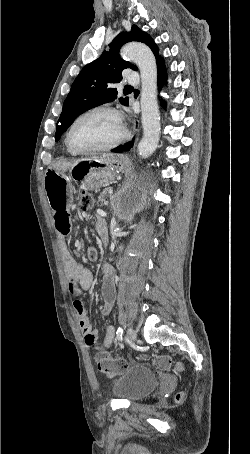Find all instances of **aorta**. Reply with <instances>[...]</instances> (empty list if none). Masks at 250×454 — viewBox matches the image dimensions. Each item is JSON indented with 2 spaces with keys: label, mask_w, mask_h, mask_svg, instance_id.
<instances>
[{
  "label": "aorta",
  "mask_w": 250,
  "mask_h": 454,
  "mask_svg": "<svg viewBox=\"0 0 250 454\" xmlns=\"http://www.w3.org/2000/svg\"><path fill=\"white\" fill-rule=\"evenodd\" d=\"M121 54L133 61L141 75V112L143 138L138 144V154L147 158L154 153L160 137V113L157 101V66L149 47L130 42L123 46Z\"/></svg>",
  "instance_id": "aorta-1"
}]
</instances>
